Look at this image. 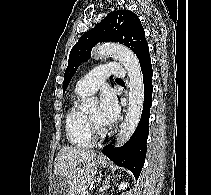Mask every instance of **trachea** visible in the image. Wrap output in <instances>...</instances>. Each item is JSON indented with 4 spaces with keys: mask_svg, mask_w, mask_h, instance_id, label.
Masks as SVG:
<instances>
[{
    "mask_svg": "<svg viewBox=\"0 0 211 195\" xmlns=\"http://www.w3.org/2000/svg\"><path fill=\"white\" fill-rule=\"evenodd\" d=\"M116 81H118V82H122L123 80H122V79H120V78H117V79H116Z\"/></svg>",
    "mask_w": 211,
    "mask_h": 195,
    "instance_id": "obj_1",
    "label": "trachea"
}]
</instances>
